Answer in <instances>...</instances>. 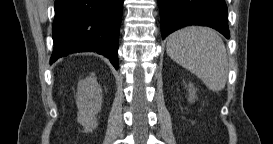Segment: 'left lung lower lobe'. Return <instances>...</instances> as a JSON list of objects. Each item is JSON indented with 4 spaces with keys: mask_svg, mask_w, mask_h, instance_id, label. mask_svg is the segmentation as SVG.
I'll list each match as a JSON object with an SVG mask.
<instances>
[{
    "mask_svg": "<svg viewBox=\"0 0 273 144\" xmlns=\"http://www.w3.org/2000/svg\"><path fill=\"white\" fill-rule=\"evenodd\" d=\"M158 5L163 39L187 25L212 27L229 38L224 0H158Z\"/></svg>",
    "mask_w": 273,
    "mask_h": 144,
    "instance_id": "1",
    "label": "left lung lower lobe"
}]
</instances>
